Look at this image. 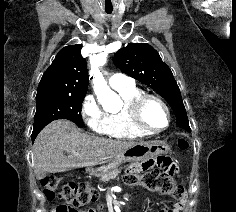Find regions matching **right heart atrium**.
<instances>
[{"mask_svg": "<svg viewBox=\"0 0 236 212\" xmlns=\"http://www.w3.org/2000/svg\"><path fill=\"white\" fill-rule=\"evenodd\" d=\"M81 116L87 126L95 133L105 134L106 113L101 110L95 98L87 95L81 105Z\"/></svg>", "mask_w": 236, "mask_h": 212, "instance_id": "d8ad5b80", "label": "right heart atrium"}]
</instances>
